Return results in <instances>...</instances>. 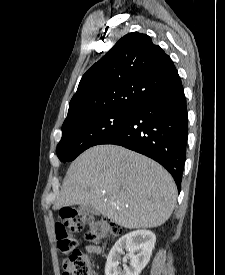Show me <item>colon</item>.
I'll list each match as a JSON object with an SVG mask.
<instances>
[{
  "label": "colon",
  "mask_w": 225,
  "mask_h": 275,
  "mask_svg": "<svg viewBox=\"0 0 225 275\" xmlns=\"http://www.w3.org/2000/svg\"><path fill=\"white\" fill-rule=\"evenodd\" d=\"M86 225L89 226L86 239L92 243H98L104 238L120 233L119 227L111 220L71 208L62 209L55 225L57 246L63 253L71 252L62 262V275L91 273L88 257L76 249V240L72 236V232L81 231Z\"/></svg>",
  "instance_id": "obj_1"
}]
</instances>
